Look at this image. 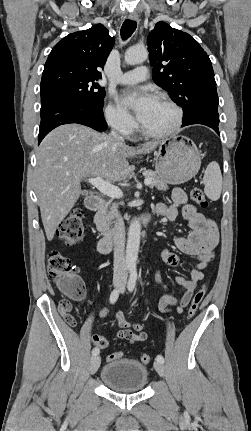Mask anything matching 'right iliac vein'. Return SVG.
Segmentation results:
<instances>
[{
    "mask_svg": "<svg viewBox=\"0 0 251 431\" xmlns=\"http://www.w3.org/2000/svg\"><path fill=\"white\" fill-rule=\"evenodd\" d=\"M119 285V283L117 282V283H115V286L117 287ZM100 363H101V358H100V356H98V355H94L92 358H91V360H90V373L91 374H94L97 370H98V368H99V366H100Z\"/></svg>",
    "mask_w": 251,
    "mask_h": 431,
    "instance_id": "right-iliac-vein-1",
    "label": "right iliac vein"
}]
</instances>
